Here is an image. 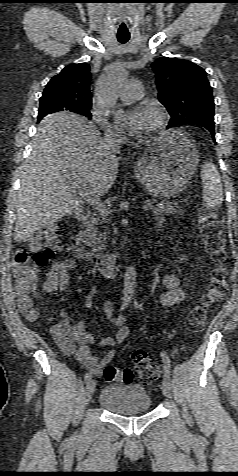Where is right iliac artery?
Returning <instances> with one entry per match:
<instances>
[{
	"mask_svg": "<svg viewBox=\"0 0 238 476\" xmlns=\"http://www.w3.org/2000/svg\"><path fill=\"white\" fill-rule=\"evenodd\" d=\"M121 309H123V307ZM91 378H92V373L91 372H87L84 376L85 382H88L89 380H91Z\"/></svg>",
	"mask_w": 238,
	"mask_h": 476,
	"instance_id": "obj_1",
	"label": "right iliac artery"
}]
</instances>
